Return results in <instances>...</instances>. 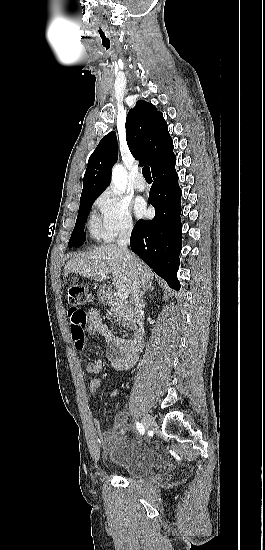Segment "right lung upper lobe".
Returning <instances> with one entry per match:
<instances>
[{
	"instance_id": "right-lung-upper-lobe-1",
	"label": "right lung upper lobe",
	"mask_w": 265,
	"mask_h": 550,
	"mask_svg": "<svg viewBox=\"0 0 265 550\" xmlns=\"http://www.w3.org/2000/svg\"><path fill=\"white\" fill-rule=\"evenodd\" d=\"M126 140L130 152L140 165L153 170L173 151V142L163 114L144 100H138L126 118ZM115 132L104 136L91 154L83 179L80 199L98 197L109 185L111 169L117 161Z\"/></svg>"
}]
</instances>
